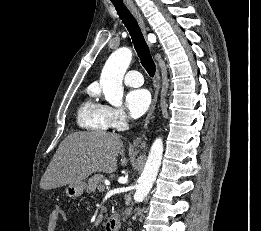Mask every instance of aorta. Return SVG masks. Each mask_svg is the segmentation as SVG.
<instances>
[{
    "mask_svg": "<svg viewBox=\"0 0 261 231\" xmlns=\"http://www.w3.org/2000/svg\"><path fill=\"white\" fill-rule=\"evenodd\" d=\"M132 59V51L123 47L113 52L106 61L100 83L105 100L114 106H121L123 99V77ZM163 141L157 138L151 146L144 170L139 178L134 200L141 202L150 192L161 166Z\"/></svg>",
    "mask_w": 261,
    "mask_h": 231,
    "instance_id": "1",
    "label": "aorta"
}]
</instances>
